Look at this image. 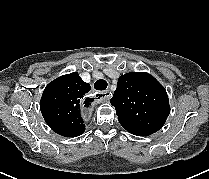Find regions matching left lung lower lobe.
I'll return each instance as SVG.
<instances>
[{
	"instance_id": "left-lung-lower-lobe-1",
	"label": "left lung lower lobe",
	"mask_w": 209,
	"mask_h": 179,
	"mask_svg": "<svg viewBox=\"0 0 209 179\" xmlns=\"http://www.w3.org/2000/svg\"><path fill=\"white\" fill-rule=\"evenodd\" d=\"M129 133L134 134L136 136H148L151 135L148 132H145L139 128L124 124V123H120Z\"/></svg>"
}]
</instances>
